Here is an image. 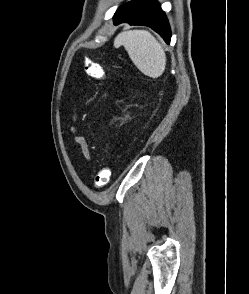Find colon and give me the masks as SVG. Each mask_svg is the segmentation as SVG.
<instances>
[{
    "mask_svg": "<svg viewBox=\"0 0 249 294\" xmlns=\"http://www.w3.org/2000/svg\"><path fill=\"white\" fill-rule=\"evenodd\" d=\"M85 71L88 76L96 79H104L105 78V70L104 68L97 64L86 61L85 63ZM112 171L109 167L102 168L95 176L94 186L96 188H101L109 183L111 178Z\"/></svg>",
    "mask_w": 249,
    "mask_h": 294,
    "instance_id": "5ec220e1",
    "label": "colon"
}]
</instances>
